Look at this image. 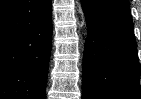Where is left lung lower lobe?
Segmentation results:
<instances>
[{
    "instance_id": "left-lung-lower-lobe-1",
    "label": "left lung lower lobe",
    "mask_w": 141,
    "mask_h": 99,
    "mask_svg": "<svg viewBox=\"0 0 141 99\" xmlns=\"http://www.w3.org/2000/svg\"><path fill=\"white\" fill-rule=\"evenodd\" d=\"M88 35L83 99H141L137 45L128 0H81Z\"/></svg>"
}]
</instances>
